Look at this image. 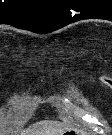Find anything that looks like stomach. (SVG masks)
<instances>
[{"mask_svg":"<svg viewBox=\"0 0 112 135\" xmlns=\"http://www.w3.org/2000/svg\"><path fill=\"white\" fill-rule=\"evenodd\" d=\"M63 135H86V132L79 129H72V130L65 131Z\"/></svg>","mask_w":112,"mask_h":135,"instance_id":"1","label":"stomach"}]
</instances>
